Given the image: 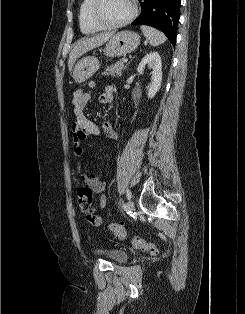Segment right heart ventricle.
I'll use <instances>...</instances> for the list:
<instances>
[{"label": "right heart ventricle", "mask_w": 245, "mask_h": 314, "mask_svg": "<svg viewBox=\"0 0 245 314\" xmlns=\"http://www.w3.org/2000/svg\"><path fill=\"white\" fill-rule=\"evenodd\" d=\"M93 0H82L79 7V25L80 29L85 34H94L104 30L97 25L91 16Z\"/></svg>", "instance_id": "right-heart-ventricle-1"}]
</instances>
